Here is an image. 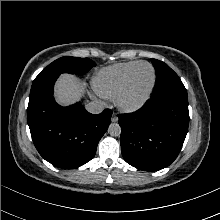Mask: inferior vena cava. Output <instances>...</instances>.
<instances>
[{"label": "inferior vena cava", "instance_id": "obj_1", "mask_svg": "<svg viewBox=\"0 0 220 220\" xmlns=\"http://www.w3.org/2000/svg\"><path fill=\"white\" fill-rule=\"evenodd\" d=\"M104 108L105 104L101 100H94L86 105L87 111L92 114H99L104 110Z\"/></svg>", "mask_w": 220, "mask_h": 220}]
</instances>
